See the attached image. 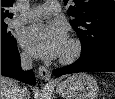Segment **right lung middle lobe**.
<instances>
[{"mask_svg":"<svg viewBox=\"0 0 115 99\" xmlns=\"http://www.w3.org/2000/svg\"><path fill=\"white\" fill-rule=\"evenodd\" d=\"M7 24L1 22V44H9L15 38L11 36V33H6Z\"/></svg>","mask_w":115,"mask_h":99,"instance_id":"right-lung-middle-lobe-1","label":"right lung middle lobe"}]
</instances>
